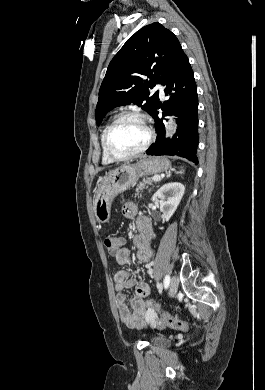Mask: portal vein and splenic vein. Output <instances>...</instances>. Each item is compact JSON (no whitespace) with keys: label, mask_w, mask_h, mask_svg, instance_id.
<instances>
[{"label":"portal vein and splenic vein","mask_w":265,"mask_h":390,"mask_svg":"<svg viewBox=\"0 0 265 390\" xmlns=\"http://www.w3.org/2000/svg\"><path fill=\"white\" fill-rule=\"evenodd\" d=\"M152 179H153V181H159V180H161L160 176H154Z\"/></svg>","instance_id":"18ae733b"}]
</instances>
